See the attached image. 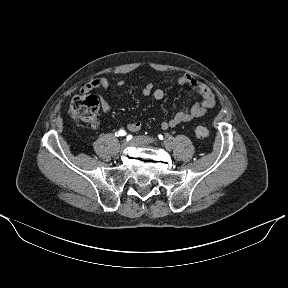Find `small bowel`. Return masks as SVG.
<instances>
[{"label":"small bowel","instance_id":"obj_1","mask_svg":"<svg viewBox=\"0 0 288 288\" xmlns=\"http://www.w3.org/2000/svg\"><path fill=\"white\" fill-rule=\"evenodd\" d=\"M171 79L175 81L178 85L190 86L193 90H195L202 97V100L192 105L191 107L178 111L176 114H174V116L171 119L167 121H163L161 123V128L164 130H167L169 128H174L179 124L189 122L195 118H199L203 116L209 109H211L215 105V96L212 90L203 82L195 79L194 77L188 74H182L176 78H171ZM117 85L120 87L124 86L125 81L119 80L117 82ZM109 86H110L109 81L106 78L99 77L85 84L81 88V93L87 94L91 90L100 89L101 93L99 94V101H100L101 108L105 113H111L112 107L106 97V92L108 91ZM142 93L145 96L152 95L156 100L163 99L165 95L163 89L154 88L153 84L151 83L144 86V88L142 89ZM90 125L92 128H97L98 121H95L94 123ZM141 126L142 124L139 121H133L127 124V128L132 132L139 131L141 129Z\"/></svg>","mask_w":288,"mask_h":288}]
</instances>
